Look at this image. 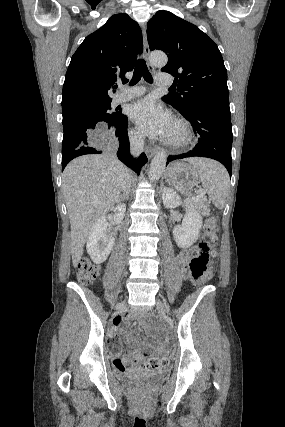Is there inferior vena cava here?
Returning <instances> with one entry per match:
<instances>
[{
  "mask_svg": "<svg viewBox=\"0 0 285 427\" xmlns=\"http://www.w3.org/2000/svg\"><path fill=\"white\" fill-rule=\"evenodd\" d=\"M144 148V137L141 134H134L130 136V152L133 156H139ZM131 187V176L126 174L125 180L123 183V196H126L130 192Z\"/></svg>",
  "mask_w": 285,
  "mask_h": 427,
  "instance_id": "obj_1",
  "label": "inferior vena cava"
}]
</instances>
